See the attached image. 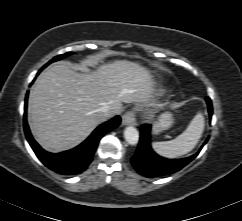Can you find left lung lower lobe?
<instances>
[{"label": "left lung lower lobe", "instance_id": "left-lung-lower-lobe-1", "mask_svg": "<svg viewBox=\"0 0 242 221\" xmlns=\"http://www.w3.org/2000/svg\"><path fill=\"white\" fill-rule=\"evenodd\" d=\"M209 116L213 114L212 103L209 97L206 98ZM151 125L144 124L140 131V141L131 163L135 170L148 178L175 173L190 163L199 152L183 159H166L158 156L151 148ZM207 141H205L206 143ZM204 143V144H205Z\"/></svg>", "mask_w": 242, "mask_h": 221}]
</instances>
